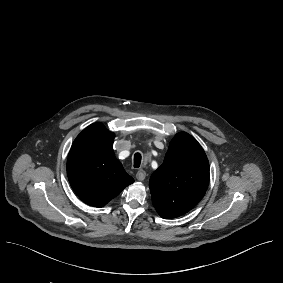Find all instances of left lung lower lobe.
<instances>
[{"label": "left lung lower lobe", "instance_id": "0a47b994", "mask_svg": "<svg viewBox=\"0 0 283 283\" xmlns=\"http://www.w3.org/2000/svg\"><path fill=\"white\" fill-rule=\"evenodd\" d=\"M161 217H163V218H173V217H176V216H170V215H161Z\"/></svg>", "mask_w": 283, "mask_h": 283}]
</instances>
